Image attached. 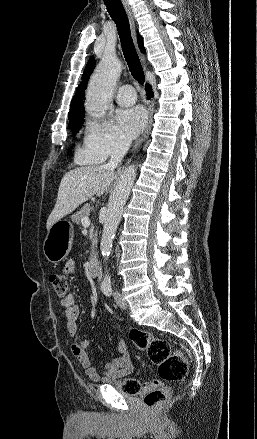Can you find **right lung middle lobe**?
<instances>
[{
	"mask_svg": "<svg viewBox=\"0 0 257 439\" xmlns=\"http://www.w3.org/2000/svg\"><path fill=\"white\" fill-rule=\"evenodd\" d=\"M68 119L70 122L69 128L72 130L73 134L78 133L84 123V114L71 113L68 114Z\"/></svg>",
	"mask_w": 257,
	"mask_h": 439,
	"instance_id": "1",
	"label": "right lung middle lobe"
}]
</instances>
